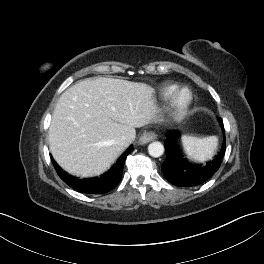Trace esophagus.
I'll use <instances>...</instances> for the list:
<instances>
[{
	"label": "esophagus",
	"instance_id": "obj_1",
	"mask_svg": "<svg viewBox=\"0 0 264 264\" xmlns=\"http://www.w3.org/2000/svg\"><path fill=\"white\" fill-rule=\"evenodd\" d=\"M157 138L155 132H144L139 138V144H147Z\"/></svg>",
	"mask_w": 264,
	"mask_h": 264
}]
</instances>
